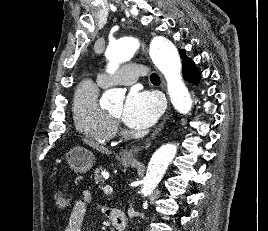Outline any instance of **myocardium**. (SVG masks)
Masks as SVG:
<instances>
[{"label": "myocardium", "instance_id": "1", "mask_svg": "<svg viewBox=\"0 0 268 231\" xmlns=\"http://www.w3.org/2000/svg\"><path fill=\"white\" fill-rule=\"evenodd\" d=\"M108 115L110 116V118L113 120V122L116 124V123H119L120 122V118L111 114L110 112H108Z\"/></svg>", "mask_w": 268, "mask_h": 231}]
</instances>
